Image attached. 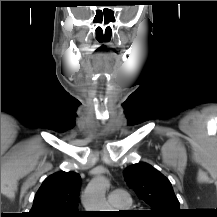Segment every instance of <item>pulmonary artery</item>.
Instances as JSON below:
<instances>
[{
    "label": "pulmonary artery",
    "instance_id": "e3ab8cb5",
    "mask_svg": "<svg viewBox=\"0 0 217 217\" xmlns=\"http://www.w3.org/2000/svg\"><path fill=\"white\" fill-rule=\"evenodd\" d=\"M108 202L115 209H127L131 205V197L125 189H115L109 193Z\"/></svg>",
    "mask_w": 217,
    "mask_h": 217
}]
</instances>
